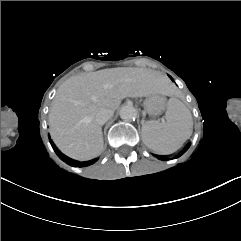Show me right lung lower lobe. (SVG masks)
<instances>
[{"mask_svg":"<svg viewBox=\"0 0 241 241\" xmlns=\"http://www.w3.org/2000/svg\"><path fill=\"white\" fill-rule=\"evenodd\" d=\"M50 143H51L54 151L56 152V154L60 157V159H62L64 162H66L67 164H69L71 166L86 167V166H89V165L93 164L97 160V159H93V160L85 161V162L73 160V159L65 156L64 154H62L51 140H50Z\"/></svg>","mask_w":241,"mask_h":241,"instance_id":"obj_1","label":"right lung lower lobe"}]
</instances>
